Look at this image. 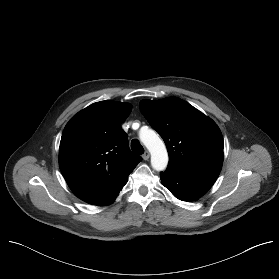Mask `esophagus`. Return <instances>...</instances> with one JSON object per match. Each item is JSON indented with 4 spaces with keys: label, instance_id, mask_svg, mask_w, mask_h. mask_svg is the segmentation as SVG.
Returning <instances> with one entry per match:
<instances>
[{
    "label": "esophagus",
    "instance_id": "esophagus-1",
    "mask_svg": "<svg viewBox=\"0 0 279 279\" xmlns=\"http://www.w3.org/2000/svg\"><path fill=\"white\" fill-rule=\"evenodd\" d=\"M149 157H150V153H149L148 151H145V153L142 155V158H143L144 160H148Z\"/></svg>",
    "mask_w": 279,
    "mask_h": 279
}]
</instances>
